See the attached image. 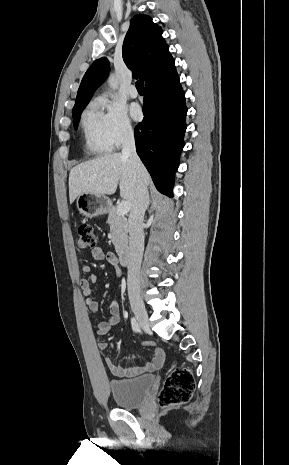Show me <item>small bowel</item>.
I'll use <instances>...</instances> for the list:
<instances>
[{"label": "small bowel", "mask_w": 289, "mask_h": 465, "mask_svg": "<svg viewBox=\"0 0 289 465\" xmlns=\"http://www.w3.org/2000/svg\"><path fill=\"white\" fill-rule=\"evenodd\" d=\"M92 257L98 261L106 260L109 264L113 266L118 265V258L116 257L114 252H105L100 247H95L92 249ZM81 270L84 273H89L91 271V268L89 265L84 264L81 266ZM117 275L119 278L122 277V273L120 270L117 271ZM96 282L97 276L95 274H91L88 277H83L79 280V285L84 295L87 297L86 305L92 313H97L99 310L98 302L92 297L93 284H95ZM109 311L110 314L108 319L105 321H100L98 323L97 334L100 336L107 335L111 331L112 327H114L119 322V306L117 302L114 301L111 303ZM98 348L102 354L106 355L108 350V344L100 343ZM164 359L165 355L163 351H161L160 349H156L152 359L145 365L140 367H122L114 364L113 361L107 356L105 357V363L113 375L117 377H133L144 372H150L159 369L163 365Z\"/></svg>", "instance_id": "obj_1"}]
</instances>
